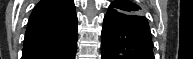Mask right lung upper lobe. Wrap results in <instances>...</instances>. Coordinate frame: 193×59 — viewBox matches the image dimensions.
<instances>
[{
    "instance_id": "cb5924a9",
    "label": "right lung upper lobe",
    "mask_w": 193,
    "mask_h": 59,
    "mask_svg": "<svg viewBox=\"0 0 193 59\" xmlns=\"http://www.w3.org/2000/svg\"><path fill=\"white\" fill-rule=\"evenodd\" d=\"M76 33L73 0H41L29 18L23 52L53 48Z\"/></svg>"
}]
</instances>
